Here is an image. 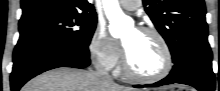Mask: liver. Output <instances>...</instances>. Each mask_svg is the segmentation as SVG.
<instances>
[{
    "instance_id": "1",
    "label": "liver",
    "mask_w": 220,
    "mask_h": 91,
    "mask_svg": "<svg viewBox=\"0 0 220 91\" xmlns=\"http://www.w3.org/2000/svg\"><path fill=\"white\" fill-rule=\"evenodd\" d=\"M21 91H134L96 77L93 72L60 67L33 78Z\"/></svg>"
}]
</instances>
